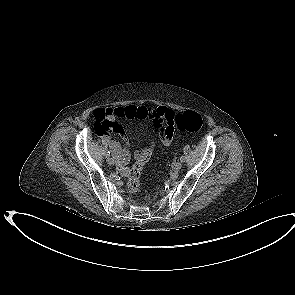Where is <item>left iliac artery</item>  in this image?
<instances>
[{"mask_svg": "<svg viewBox=\"0 0 295 295\" xmlns=\"http://www.w3.org/2000/svg\"><path fill=\"white\" fill-rule=\"evenodd\" d=\"M180 161H181V162H184V161H185V156H181V157H180Z\"/></svg>", "mask_w": 295, "mask_h": 295, "instance_id": "44dca946", "label": "left iliac artery"}]
</instances>
